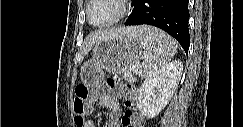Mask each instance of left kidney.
<instances>
[{
  "label": "left kidney",
  "instance_id": "obj_1",
  "mask_svg": "<svg viewBox=\"0 0 243 127\" xmlns=\"http://www.w3.org/2000/svg\"><path fill=\"white\" fill-rule=\"evenodd\" d=\"M182 71V62L174 60L145 79L138 96V108L145 117L154 118L166 107L178 86Z\"/></svg>",
  "mask_w": 243,
  "mask_h": 127
}]
</instances>
